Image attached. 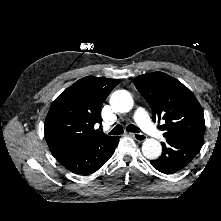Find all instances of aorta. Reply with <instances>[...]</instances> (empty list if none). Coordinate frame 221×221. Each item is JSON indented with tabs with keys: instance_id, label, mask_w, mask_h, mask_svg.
<instances>
[{
	"instance_id": "aorta-1",
	"label": "aorta",
	"mask_w": 221,
	"mask_h": 221,
	"mask_svg": "<svg viewBox=\"0 0 221 221\" xmlns=\"http://www.w3.org/2000/svg\"><path fill=\"white\" fill-rule=\"evenodd\" d=\"M110 104L116 111L125 113L133 108L134 102L128 91L117 90L111 95ZM142 153L147 159L156 160L162 153L161 144L156 139H146L142 144Z\"/></svg>"
}]
</instances>
